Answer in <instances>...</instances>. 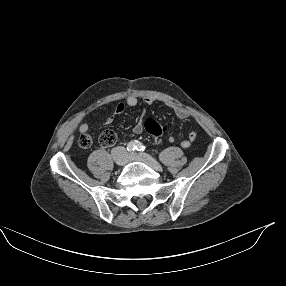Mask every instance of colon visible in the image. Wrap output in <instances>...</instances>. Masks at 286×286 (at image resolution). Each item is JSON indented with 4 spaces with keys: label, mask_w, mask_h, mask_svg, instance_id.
Returning <instances> with one entry per match:
<instances>
[{
    "label": "colon",
    "mask_w": 286,
    "mask_h": 286,
    "mask_svg": "<svg viewBox=\"0 0 286 286\" xmlns=\"http://www.w3.org/2000/svg\"><path fill=\"white\" fill-rule=\"evenodd\" d=\"M144 128L151 135L165 136L166 128L153 119H147ZM99 141L103 146H111L117 141V134L113 130H105L101 133ZM79 145L83 148H89L92 145V138L88 134H82L79 138Z\"/></svg>",
    "instance_id": "5ec220e1"
}]
</instances>
